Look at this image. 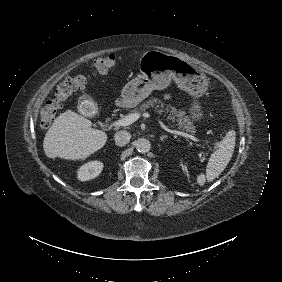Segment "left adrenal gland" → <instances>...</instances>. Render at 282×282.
Segmentation results:
<instances>
[{"label":"left adrenal gland","instance_id":"1","mask_svg":"<svg viewBox=\"0 0 282 282\" xmlns=\"http://www.w3.org/2000/svg\"><path fill=\"white\" fill-rule=\"evenodd\" d=\"M165 137H167L166 134H161V140H162L163 138H165Z\"/></svg>","mask_w":282,"mask_h":282}]
</instances>
